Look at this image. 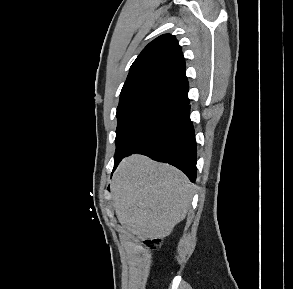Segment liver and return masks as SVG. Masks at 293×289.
<instances>
[{"label": "liver", "instance_id": "obj_1", "mask_svg": "<svg viewBox=\"0 0 293 289\" xmlns=\"http://www.w3.org/2000/svg\"><path fill=\"white\" fill-rule=\"evenodd\" d=\"M111 192L122 226L141 239H161L185 218L193 185L173 166L132 155L116 169Z\"/></svg>", "mask_w": 293, "mask_h": 289}]
</instances>
